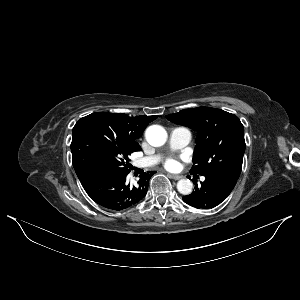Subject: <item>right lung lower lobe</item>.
Masks as SVG:
<instances>
[{"label":"right lung lower lobe","instance_id":"1","mask_svg":"<svg viewBox=\"0 0 300 300\" xmlns=\"http://www.w3.org/2000/svg\"><path fill=\"white\" fill-rule=\"evenodd\" d=\"M128 172L98 167L78 176L89 197L100 206L120 211L140 202L147 193L154 171L140 175L136 185L127 180Z\"/></svg>","mask_w":300,"mask_h":300}]
</instances>
